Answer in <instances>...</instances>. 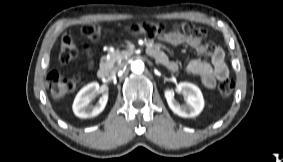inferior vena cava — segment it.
Returning <instances> with one entry per match:
<instances>
[{"instance_id": "inferior-vena-cava-1", "label": "inferior vena cava", "mask_w": 283, "mask_h": 162, "mask_svg": "<svg viewBox=\"0 0 283 162\" xmlns=\"http://www.w3.org/2000/svg\"><path fill=\"white\" fill-rule=\"evenodd\" d=\"M119 70H120V68L116 67L111 71V74L115 75L117 73V71H119Z\"/></svg>"}]
</instances>
